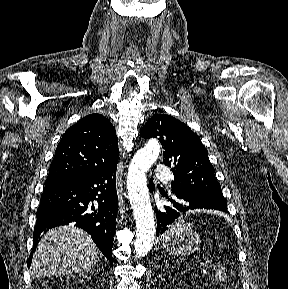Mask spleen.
<instances>
[{"instance_id": "1", "label": "spleen", "mask_w": 288, "mask_h": 289, "mask_svg": "<svg viewBox=\"0 0 288 289\" xmlns=\"http://www.w3.org/2000/svg\"><path fill=\"white\" fill-rule=\"evenodd\" d=\"M192 227L193 224L184 223V221L180 219L169 227V229L163 234L162 239L163 241H169L173 239L175 236H178L191 230Z\"/></svg>"}]
</instances>
